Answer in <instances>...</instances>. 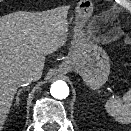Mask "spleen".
<instances>
[{
    "instance_id": "spleen-1",
    "label": "spleen",
    "mask_w": 131,
    "mask_h": 131,
    "mask_svg": "<svg viewBox=\"0 0 131 131\" xmlns=\"http://www.w3.org/2000/svg\"><path fill=\"white\" fill-rule=\"evenodd\" d=\"M105 109L115 121L121 124L131 123V89L122 99L110 98L105 104Z\"/></svg>"
}]
</instances>
